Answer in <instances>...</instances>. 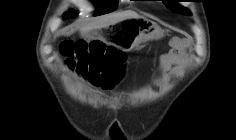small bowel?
I'll return each instance as SVG.
<instances>
[{
    "instance_id": "c3829d8e",
    "label": "small bowel",
    "mask_w": 236,
    "mask_h": 140,
    "mask_svg": "<svg viewBox=\"0 0 236 140\" xmlns=\"http://www.w3.org/2000/svg\"><path fill=\"white\" fill-rule=\"evenodd\" d=\"M172 45L173 49L163 55L160 59L159 67L156 71V75L159 77H164L170 71L182 65L185 61L183 42L180 39H174Z\"/></svg>"
}]
</instances>
